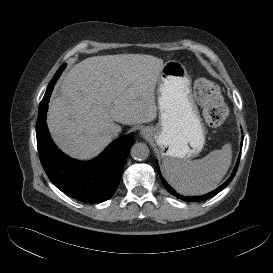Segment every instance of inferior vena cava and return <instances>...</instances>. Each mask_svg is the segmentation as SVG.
<instances>
[{
    "label": "inferior vena cava",
    "mask_w": 273,
    "mask_h": 273,
    "mask_svg": "<svg viewBox=\"0 0 273 273\" xmlns=\"http://www.w3.org/2000/svg\"><path fill=\"white\" fill-rule=\"evenodd\" d=\"M118 133H119V132H118L117 130H112L110 136H111L112 138H116V137L118 136Z\"/></svg>",
    "instance_id": "obj_1"
}]
</instances>
